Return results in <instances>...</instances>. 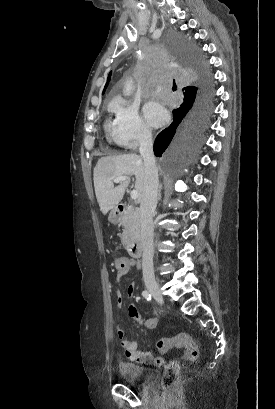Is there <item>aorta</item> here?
I'll return each mask as SVG.
<instances>
[{"label": "aorta", "instance_id": "762f6f07", "mask_svg": "<svg viewBox=\"0 0 275 409\" xmlns=\"http://www.w3.org/2000/svg\"><path fill=\"white\" fill-rule=\"evenodd\" d=\"M132 80H127L126 84H124V88H123V92L124 94H126V96H128V94H131L132 92V84H131Z\"/></svg>", "mask_w": 275, "mask_h": 409}]
</instances>
